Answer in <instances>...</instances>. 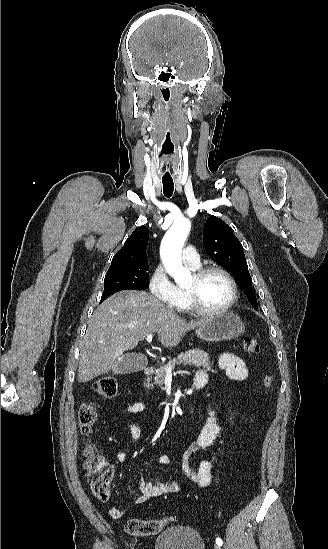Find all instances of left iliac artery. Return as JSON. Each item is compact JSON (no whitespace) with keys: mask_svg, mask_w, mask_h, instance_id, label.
<instances>
[{"mask_svg":"<svg viewBox=\"0 0 328 549\" xmlns=\"http://www.w3.org/2000/svg\"><path fill=\"white\" fill-rule=\"evenodd\" d=\"M216 543L221 546L223 544L222 542V539L221 538H216Z\"/></svg>","mask_w":328,"mask_h":549,"instance_id":"44dca946","label":"left iliac artery"}]
</instances>
